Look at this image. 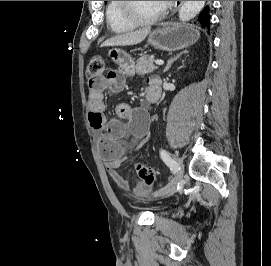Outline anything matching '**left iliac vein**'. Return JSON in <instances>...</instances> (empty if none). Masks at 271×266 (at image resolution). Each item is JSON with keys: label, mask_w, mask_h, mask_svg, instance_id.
Segmentation results:
<instances>
[{"label": "left iliac vein", "mask_w": 271, "mask_h": 266, "mask_svg": "<svg viewBox=\"0 0 271 266\" xmlns=\"http://www.w3.org/2000/svg\"><path fill=\"white\" fill-rule=\"evenodd\" d=\"M174 161L176 164L175 178L166 187L154 192V196H164L171 193L177 187V185L181 182L184 175L182 161L180 158H176Z\"/></svg>", "instance_id": "left-iliac-vein-1"}]
</instances>
